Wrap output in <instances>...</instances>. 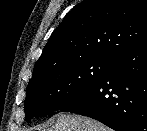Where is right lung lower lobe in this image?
Here are the masks:
<instances>
[{
  "mask_svg": "<svg viewBox=\"0 0 147 131\" xmlns=\"http://www.w3.org/2000/svg\"><path fill=\"white\" fill-rule=\"evenodd\" d=\"M61 111L116 131H147V41L118 57L93 88Z\"/></svg>",
  "mask_w": 147,
  "mask_h": 131,
  "instance_id": "1",
  "label": "right lung lower lobe"
}]
</instances>
